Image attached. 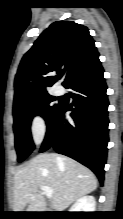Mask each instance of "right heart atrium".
I'll list each match as a JSON object with an SVG mask.
<instances>
[{
  "label": "right heart atrium",
  "instance_id": "d8ad5b80",
  "mask_svg": "<svg viewBox=\"0 0 123 219\" xmlns=\"http://www.w3.org/2000/svg\"><path fill=\"white\" fill-rule=\"evenodd\" d=\"M30 133L33 141L39 143L46 133V122L40 114H35L30 121Z\"/></svg>",
  "mask_w": 123,
  "mask_h": 219
}]
</instances>
